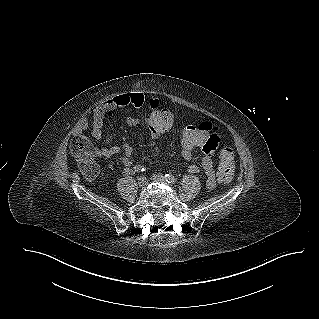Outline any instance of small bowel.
Segmentation results:
<instances>
[{"instance_id":"c3829d8e","label":"small bowel","mask_w":319,"mask_h":319,"mask_svg":"<svg viewBox=\"0 0 319 319\" xmlns=\"http://www.w3.org/2000/svg\"><path fill=\"white\" fill-rule=\"evenodd\" d=\"M146 99L142 93L139 92H131L126 94H121L115 97H112L101 104H99L94 110L93 121L91 124V135L96 141L103 140V123H106L104 117H114L115 109L123 106H134V107H142L145 105ZM148 105L151 107L152 113H171L173 111V106L171 104H161L159 100L149 99ZM147 118H142L145 122H147ZM139 119L137 118H129L127 120V125L129 127L135 126L139 123ZM89 123L87 120L80 121L79 125L73 130L72 134L76 137H85L84 131L88 128ZM190 125H188L189 127ZM151 136L153 138L159 137L161 134H154L150 131ZM224 136V132L222 129L217 128L214 132L211 133L209 140L203 145L204 157L202 159V169L207 176V186L209 188H214L217 185L218 181H229L224 180L222 176H216L214 170V161L212 155L216 150L217 146L220 144V139ZM134 152L133 146L125 141L121 146H112L107 148H101L98 150V156L101 158H108L113 155L123 154L124 157L122 159V163L125 167V172L130 174L132 172L133 160L131 159V155ZM182 156L186 160H190L192 158V154L187 155L182 152ZM200 171L199 166L192 164L189 166L190 173H198Z\"/></svg>"}]
</instances>
